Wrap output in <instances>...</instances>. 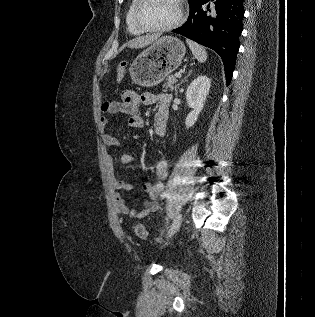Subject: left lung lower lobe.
Masks as SVG:
<instances>
[{"label":"left lung lower lobe","instance_id":"0a47b994","mask_svg":"<svg viewBox=\"0 0 315 317\" xmlns=\"http://www.w3.org/2000/svg\"><path fill=\"white\" fill-rule=\"evenodd\" d=\"M193 0L186 23L172 30L216 51L224 64L227 85L230 84L239 50L244 16L243 0Z\"/></svg>","mask_w":315,"mask_h":317}]
</instances>
